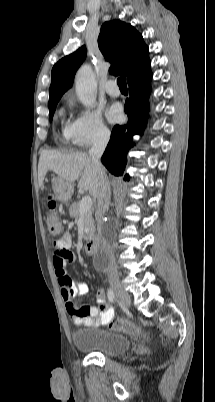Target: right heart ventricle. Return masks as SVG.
<instances>
[{
	"label": "right heart ventricle",
	"mask_w": 215,
	"mask_h": 402,
	"mask_svg": "<svg viewBox=\"0 0 215 402\" xmlns=\"http://www.w3.org/2000/svg\"><path fill=\"white\" fill-rule=\"evenodd\" d=\"M69 124H66L63 128V136L67 140L69 139V130H68Z\"/></svg>",
	"instance_id": "e07e8e85"
}]
</instances>
